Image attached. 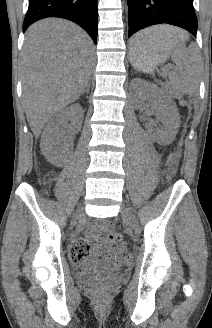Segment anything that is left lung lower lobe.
Instances as JSON below:
<instances>
[{
	"label": "left lung lower lobe",
	"mask_w": 212,
	"mask_h": 328,
	"mask_svg": "<svg viewBox=\"0 0 212 328\" xmlns=\"http://www.w3.org/2000/svg\"><path fill=\"white\" fill-rule=\"evenodd\" d=\"M128 37L135 32L155 24L167 23L186 29L196 37L197 18L193 0H127ZM133 41V48H138Z\"/></svg>",
	"instance_id": "1"
}]
</instances>
